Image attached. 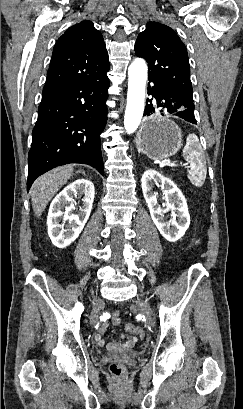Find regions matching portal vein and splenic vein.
Masks as SVG:
<instances>
[{"label":"portal vein and splenic vein","instance_id":"18ae733b","mask_svg":"<svg viewBox=\"0 0 243 409\" xmlns=\"http://www.w3.org/2000/svg\"><path fill=\"white\" fill-rule=\"evenodd\" d=\"M178 166L177 164H174V163H169V162H166V161H162L161 163H160V167H164V166ZM181 166H185V164H181Z\"/></svg>","mask_w":243,"mask_h":409}]
</instances>
